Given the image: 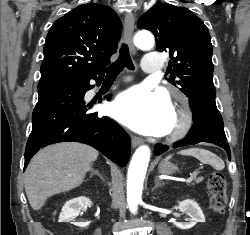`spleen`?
I'll list each match as a JSON object with an SVG mask.
<instances>
[{
  "instance_id": "1",
  "label": "spleen",
  "mask_w": 250,
  "mask_h": 235,
  "mask_svg": "<svg viewBox=\"0 0 250 235\" xmlns=\"http://www.w3.org/2000/svg\"><path fill=\"white\" fill-rule=\"evenodd\" d=\"M179 154L193 156L204 164H210L216 170H223L225 167V164L222 159L205 149L191 148L187 150H182L179 152ZM171 157V155L167 156L166 160L170 159Z\"/></svg>"
}]
</instances>
